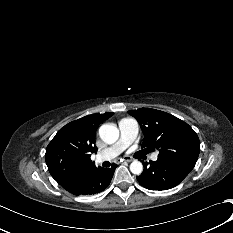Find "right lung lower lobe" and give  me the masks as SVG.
<instances>
[{
	"label": "right lung lower lobe",
	"instance_id": "98d812e1",
	"mask_svg": "<svg viewBox=\"0 0 233 233\" xmlns=\"http://www.w3.org/2000/svg\"><path fill=\"white\" fill-rule=\"evenodd\" d=\"M117 165L111 168H96L92 170L82 182L74 195H92L104 191L110 184Z\"/></svg>",
	"mask_w": 233,
	"mask_h": 233
}]
</instances>
